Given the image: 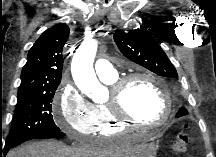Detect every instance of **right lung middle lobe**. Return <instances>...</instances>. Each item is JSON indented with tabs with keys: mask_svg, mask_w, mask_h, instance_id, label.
Segmentation results:
<instances>
[{
	"mask_svg": "<svg viewBox=\"0 0 216 157\" xmlns=\"http://www.w3.org/2000/svg\"><path fill=\"white\" fill-rule=\"evenodd\" d=\"M56 89L34 91L17 98L5 146L17 145L37 135L59 131L53 120L51 105Z\"/></svg>",
	"mask_w": 216,
	"mask_h": 157,
	"instance_id": "dd1d6c3e",
	"label": "right lung middle lobe"
}]
</instances>
